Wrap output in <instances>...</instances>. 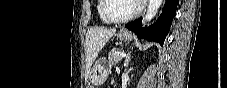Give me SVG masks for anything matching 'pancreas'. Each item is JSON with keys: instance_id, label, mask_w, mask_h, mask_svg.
<instances>
[{"instance_id": "obj_1", "label": "pancreas", "mask_w": 227, "mask_h": 88, "mask_svg": "<svg viewBox=\"0 0 227 88\" xmlns=\"http://www.w3.org/2000/svg\"><path fill=\"white\" fill-rule=\"evenodd\" d=\"M120 51L118 49H112L108 53V60L109 63L114 65L122 60V57L120 56Z\"/></svg>"}]
</instances>
